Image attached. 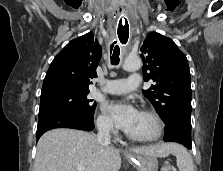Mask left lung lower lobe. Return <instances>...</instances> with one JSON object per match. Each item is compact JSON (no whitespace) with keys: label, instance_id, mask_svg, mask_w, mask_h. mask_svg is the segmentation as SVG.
<instances>
[{"label":"left lung lower lobe","instance_id":"1","mask_svg":"<svg viewBox=\"0 0 223 171\" xmlns=\"http://www.w3.org/2000/svg\"><path fill=\"white\" fill-rule=\"evenodd\" d=\"M164 141L177 142L191 149V123L180 118L168 121L165 126Z\"/></svg>","mask_w":223,"mask_h":171}]
</instances>
